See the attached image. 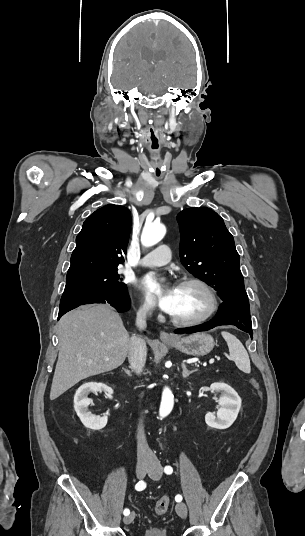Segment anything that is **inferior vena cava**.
<instances>
[{"label": "inferior vena cava", "instance_id": "inferior-vena-cava-1", "mask_svg": "<svg viewBox=\"0 0 305 536\" xmlns=\"http://www.w3.org/2000/svg\"><path fill=\"white\" fill-rule=\"evenodd\" d=\"M151 310L150 306H142L137 312L136 326L139 330H144L146 328V318L147 314ZM130 350L128 354L129 364L131 370H134L136 374L142 372L145 362H146V344L142 338H137V336H132L130 340ZM154 454L151 452L145 438L144 430L142 424L138 426L137 434V458L141 462H149L152 460Z\"/></svg>", "mask_w": 305, "mask_h": 536}]
</instances>
